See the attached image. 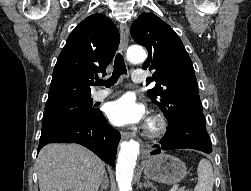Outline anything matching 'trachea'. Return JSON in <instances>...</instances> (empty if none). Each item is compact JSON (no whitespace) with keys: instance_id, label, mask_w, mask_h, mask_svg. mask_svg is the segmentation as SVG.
Returning a JSON list of instances; mask_svg holds the SVG:
<instances>
[{"instance_id":"3493384b","label":"trachea","mask_w":251,"mask_h":191,"mask_svg":"<svg viewBox=\"0 0 251 191\" xmlns=\"http://www.w3.org/2000/svg\"><path fill=\"white\" fill-rule=\"evenodd\" d=\"M126 74H127V69L125 66L123 56L120 53H118L115 57L114 70L112 76L108 80H96L95 84L100 86H106L107 88H109V86H113L117 82L120 75H126Z\"/></svg>"}]
</instances>
